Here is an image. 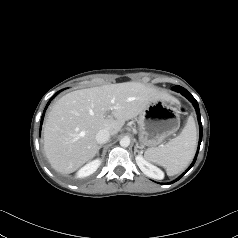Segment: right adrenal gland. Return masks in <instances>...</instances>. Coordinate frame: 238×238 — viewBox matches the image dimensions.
Instances as JSON below:
<instances>
[{
	"instance_id": "1",
	"label": "right adrenal gland",
	"mask_w": 238,
	"mask_h": 238,
	"mask_svg": "<svg viewBox=\"0 0 238 238\" xmlns=\"http://www.w3.org/2000/svg\"><path fill=\"white\" fill-rule=\"evenodd\" d=\"M100 148H102V145L98 146L97 156L99 155V150H100Z\"/></svg>"
}]
</instances>
